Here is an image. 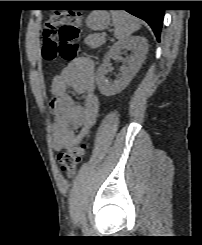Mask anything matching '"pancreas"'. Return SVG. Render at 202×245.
I'll list each match as a JSON object with an SVG mask.
<instances>
[{"instance_id": "cf45deb5", "label": "pancreas", "mask_w": 202, "mask_h": 245, "mask_svg": "<svg viewBox=\"0 0 202 245\" xmlns=\"http://www.w3.org/2000/svg\"><path fill=\"white\" fill-rule=\"evenodd\" d=\"M91 48H98L105 43V37L96 34L89 35L84 41Z\"/></svg>"}]
</instances>
